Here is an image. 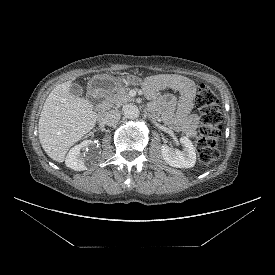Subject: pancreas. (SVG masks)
Returning a JSON list of instances; mask_svg holds the SVG:
<instances>
[{"mask_svg":"<svg viewBox=\"0 0 275 275\" xmlns=\"http://www.w3.org/2000/svg\"><path fill=\"white\" fill-rule=\"evenodd\" d=\"M133 100L134 98L130 97L128 94V88L120 87L114 93L108 95L105 102L108 107H113L114 105L120 107L121 105Z\"/></svg>","mask_w":275,"mask_h":275,"instance_id":"pancreas-1","label":"pancreas"}]
</instances>
